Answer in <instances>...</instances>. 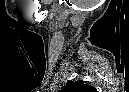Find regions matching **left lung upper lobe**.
Instances as JSON below:
<instances>
[{
  "label": "left lung upper lobe",
  "instance_id": "5c2ea615",
  "mask_svg": "<svg viewBox=\"0 0 129 92\" xmlns=\"http://www.w3.org/2000/svg\"><path fill=\"white\" fill-rule=\"evenodd\" d=\"M94 88L83 81L69 82L60 92H94Z\"/></svg>",
  "mask_w": 129,
  "mask_h": 92
}]
</instances>
